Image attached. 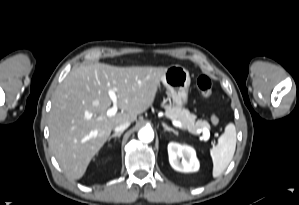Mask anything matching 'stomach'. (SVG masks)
I'll use <instances>...</instances> for the list:
<instances>
[{
  "instance_id": "0dacf381",
  "label": "stomach",
  "mask_w": 299,
  "mask_h": 205,
  "mask_svg": "<svg viewBox=\"0 0 299 205\" xmlns=\"http://www.w3.org/2000/svg\"><path fill=\"white\" fill-rule=\"evenodd\" d=\"M162 83L177 106L182 107L187 104L188 90L191 83L187 69L180 65L167 67L162 78Z\"/></svg>"
}]
</instances>
